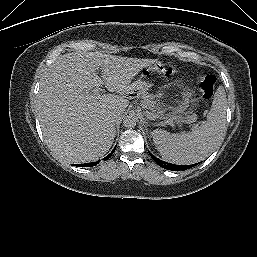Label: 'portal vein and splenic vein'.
I'll return each mask as SVG.
<instances>
[{
    "label": "portal vein and splenic vein",
    "mask_w": 257,
    "mask_h": 257,
    "mask_svg": "<svg viewBox=\"0 0 257 257\" xmlns=\"http://www.w3.org/2000/svg\"><path fill=\"white\" fill-rule=\"evenodd\" d=\"M102 91V90H100ZM85 99H99L101 97L100 93L98 90H94L92 93H86ZM146 117L148 119L153 120L155 118V115L152 114L151 112L146 111ZM171 126H174V124L171 121H167Z\"/></svg>",
    "instance_id": "portal-vein-and-splenic-vein-1"
}]
</instances>
